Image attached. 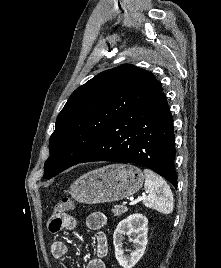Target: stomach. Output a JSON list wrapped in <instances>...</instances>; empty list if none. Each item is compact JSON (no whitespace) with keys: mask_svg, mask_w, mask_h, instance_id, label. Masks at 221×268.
Segmentation results:
<instances>
[{"mask_svg":"<svg viewBox=\"0 0 221 268\" xmlns=\"http://www.w3.org/2000/svg\"><path fill=\"white\" fill-rule=\"evenodd\" d=\"M144 177L134 165L110 164L79 177L69 193L84 204L119 201L135 194L142 187Z\"/></svg>","mask_w":221,"mask_h":268,"instance_id":"stomach-1","label":"stomach"}]
</instances>
